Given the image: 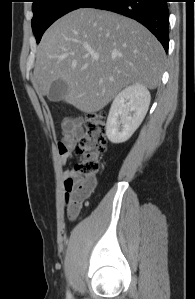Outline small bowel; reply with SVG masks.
Listing matches in <instances>:
<instances>
[{
  "label": "small bowel",
  "mask_w": 195,
  "mask_h": 299,
  "mask_svg": "<svg viewBox=\"0 0 195 299\" xmlns=\"http://www.w3.org/2000/svg\"><path fill=\"white\" fill-rule=\"evenodd\" d=\"M62 131H63V138L59 146V153H60L59 164L61 166H64L66 162L72 158V149L76 141L80 138V136L83 133L82 119L76 118V119L66 120L62 125ZM73 178H74L73 168L68 169L63 173L66 192L70 188L69 184L73 180ZM78 215L76 216L68 215V217L71 220H75L78 218Z\"/></svg>",
  "instance_id": "obj_1"
}]
</instances>
